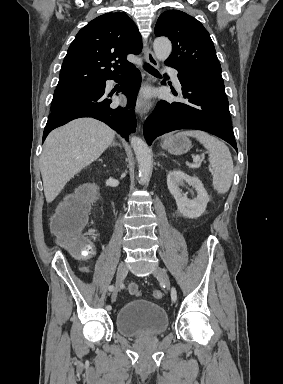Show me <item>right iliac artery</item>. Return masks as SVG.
<instances>
[{
	"mask_svg": "<svg viewBox=\"0 0 283 384\" xmlns=\"http://www.w3.org/2000/svg\"><path fill=\"white\" fill-rule=\"evenodd\" d=\"M108 289H109L110 292H112V291L114 290V286L111 285V286H109ZM106 309H107V310H111V309H112V306H111V305H107V306H106Z\"/></svg>",
	"mask_w": 283,
	"mask_h": 384,
	"instance_id": "right-iliac-artery-1",
	"label": "right iliac artery"
}]
</instances>
